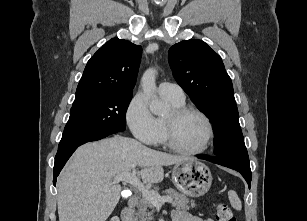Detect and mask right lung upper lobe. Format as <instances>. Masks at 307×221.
<instances>
[{"mask_svg":"<svg viewBox=\"0 0 307 221\" xmlns=\"http://www.w3.org/2000/svg\"><path fill=\"white\" fill-rule=\"evenodd\" d=\"M142 47L112 38L88 61L79 81L74 102L110 93H132Z\"/></svg>","mask_w":307,"mask_h":221,"instance_id":"cb5924a9","label":"right lung upper lobe"}]
</instances>
